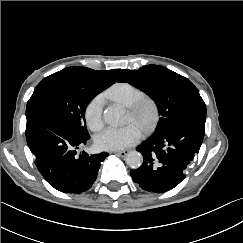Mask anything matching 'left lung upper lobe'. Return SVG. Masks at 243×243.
Here are the masks:
<instances>
[{
	"label": "left lung upper lobe",
	"instance_id": "obj_1",
	"mask_svg": "<svg viewBox=\"0 0 243 243\" xmlns=\"http://www.w3.org/2000/svg\"><path fill=\"white\" fill-rule=\"evenodd\" d=\"M118 81L144 91L157 104L160 119L150 138L161 136L180 115L206 108L192 82L160 65H146L138 70L125 69Z\"/></svg>",
	"mask_w": 243,
	"mask_h": 243
}]
</instances>
